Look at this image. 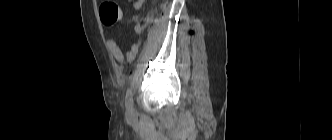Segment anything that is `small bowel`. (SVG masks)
<instances>
[{"mask_svg":"<svg viewBox=\"0 0 332 140\" xmlns=\"http://www.w3.org/2000/svg\"><path fill=\"white\" fill-rule=\"evenodd\" d=\"M127 1L132 2L133 7L136 10H139L143 7L146 0H127ZM107 46L114 59L120 64H123L125 61L132 62L138 53V44L136 43L132 44L125 54L120 49L116 39L113 38L109 39L107 42Z\"/></svg>","mask_w":332,"mask_h":140,"instance_id":"small-bowel-1","label":"small bowel"}]
</instances>
